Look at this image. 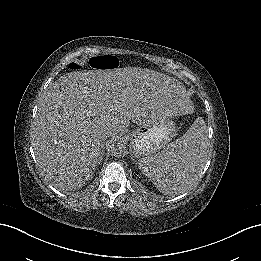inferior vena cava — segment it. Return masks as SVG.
I'll list each match as a JSON object with an SVG mask.
<instances>
[{"mask_svg":"<svg viewBox=\"0 0 261 261\" xmlns=\"http://www.w3.org/2000/svg\"><path fill=\"white\" fill-rule=\"evenodd\" d=\"M114 134H115V133H114ZM111 135H113L112 132H110V133L108 134V136L106 135L105 137L107 138V137H109V136H111Z\"/></svg>","mask_w":261,"mask_h":261,"instance_id":"1","label":"inferior vena cava"}]
</instances>
